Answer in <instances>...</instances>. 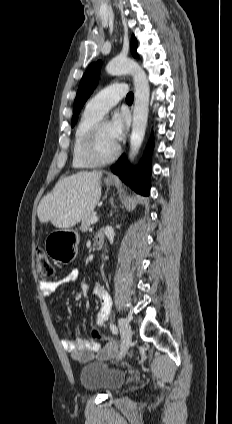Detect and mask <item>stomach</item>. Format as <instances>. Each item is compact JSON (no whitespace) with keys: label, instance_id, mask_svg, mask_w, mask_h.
<instances>
[{"label":"stomach","instance_id":"1","mask_svg":"<svg viewBox=\"0 0 232 424\" xmlns=\"http://www.w3.org/2000/svg\"><path fill=\"white\" fill-rule=\"evenodd\" d=\"M107 186L115 184L113 180L105 179ZM79 243V235L72 229H61L53 231L45 240V251L53 259L59 263L71 262L77 254V246Z\"/></svg>","mask_w":232,"mask_h":424}]
</instances>
